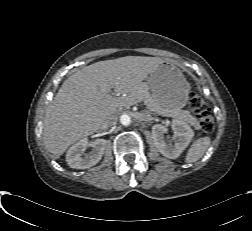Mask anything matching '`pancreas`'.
I'll return each instance as SVG.
<instances>
[{"mask_svg": "<svg viewBox=\"0 0 252 231\" xmlns=\"http://www.w3.org/2000/svg\"><path fill=\"white\" fill-rule=\"evenodd\" d=\"M131 102L143 101L150 111L162 116L173 117L181 121L187 122L196 129L200 128V125L196 119L188 110L182 109H163L151 96L148 89L141 85L134 92L127 97ZM128 105L125 103L124 106Z\"/></svg>", "mask_w": 252, "mask_h": 231, "instance_id": "cf45deb5", "label": "pancreas"}]
</instances>
